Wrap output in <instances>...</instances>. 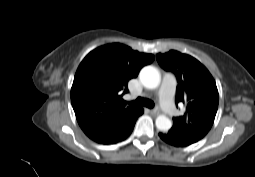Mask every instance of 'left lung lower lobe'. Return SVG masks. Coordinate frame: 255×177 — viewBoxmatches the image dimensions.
Instances as JSON below:
<instances>
[{
	"label": "left lung lower lobe",
	"mask_w": 255,
	"mask_h": 177,
	"mask_svg": "<svg viewBox=\"0 0 255 177\" xmlns=\"http://www.w3.org/2000/svg\"><path fill=\"white\" fill-rule=\"evenodd\" d=\"M159 136L166 143L176 147H184L197 142V140L181 134L173 129H170L167 133H159Z\"/></svg>",
	"instance_id": "0a47b994"
}]
</instances>
